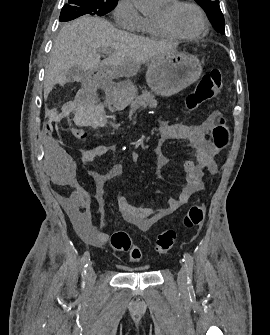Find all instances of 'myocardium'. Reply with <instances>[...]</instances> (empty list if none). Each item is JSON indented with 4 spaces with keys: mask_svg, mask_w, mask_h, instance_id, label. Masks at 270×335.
<instances>
[{
    "mask_svg": "<svg viewBox=\"0 0 270 335\" xmlns=\"http://www.w3.org/2000/svg\"><path fill=\"white\" fill-rule=\"evenodd\" d=\"M181 5H189L193 7L196 10V12L199 14L200 19L202 21V30L200 32L196 34H190V35L182 34L171 26L170 18ZM163 9H164L165 18L155 19V23L166 35L173 37V38L180 39V40H196L207 34L209 30V25H208L206 16L204 15L201 8L194 2L192 1L173 2L172 4L165 6ZM190 78H196V77H190Z\"/></svg>",
    "mask_w": 270,
    "mask_h": 335,
    "instance_id": "f54148a6",
    "label": "myocardium"
}]
</instances>
